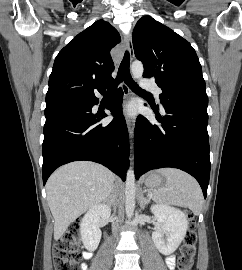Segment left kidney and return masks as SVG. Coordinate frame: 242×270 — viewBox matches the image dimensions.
Instances as JSON below:
<instances>
[{
	"mask_svg": "<svg viewBox=\"0 0 242 270\" xmlns=\"http://www.w3.org/2000/svg\"><path fill=\"white\" fill-rule=\"evenodd\" d=\"M151 211L161 225L160 229L152 233L154 244L162 254L170 255L176 251L187 233L189 223L186 215L180 209L160 204L153 205Z\"/></svg>",
	"mask_w": 242,
	"mask_h": 270,
	"instance_id": "left-kidney-1",
	"label": "left kidney"
}]
</instances>
